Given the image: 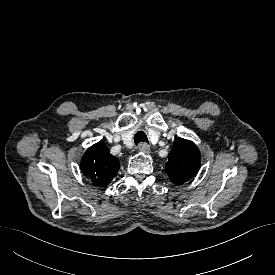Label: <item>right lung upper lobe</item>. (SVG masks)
<instances>
[{"label": "right lung upper lobe", "mask_w": 275, "mask_h": 275, "mask_svg": "<svg viewBox=\"0 0 275 275\" xmlns=\"http://www.w3.org/2000/svg\"><path fill=\"white\" fill-rule=\"evenodd\" d=\"M119 160L110 154L107 146L98 142L83 155L81 170L97 186H106L117 174Z\"/></svg>", "instance_id": "right-lung-upper-lobe-1"}]
</instances>
